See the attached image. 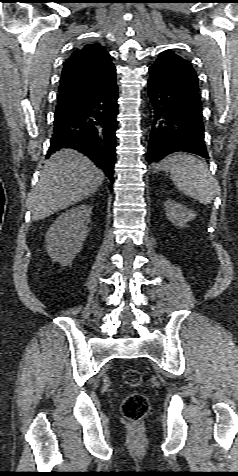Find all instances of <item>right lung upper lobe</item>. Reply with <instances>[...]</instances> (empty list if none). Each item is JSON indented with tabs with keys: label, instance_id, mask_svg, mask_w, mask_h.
<instances>
[{
	"label": "right lung upper lobe",
	"instance_id": "cb5924a9",
	"mask_svg": "<svg viewBox=\"0 0 238 476\" xmlns=\"http://www.w3.org/2000/svg\"><path fill=\"white\" fill-rule=\"evenodd\" d=\"M115 72L102 45L87 44L75 50L63 66L56 112L72 110L99 95L116 81Z\"/></svg>",
	"mask_w": 238,
	"mask_h": 476
}]
</instances>
